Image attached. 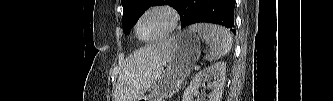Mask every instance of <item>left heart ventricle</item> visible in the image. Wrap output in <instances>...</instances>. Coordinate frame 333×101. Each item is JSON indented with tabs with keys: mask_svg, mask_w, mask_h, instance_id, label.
<instances>
[{
	"mask_svg": "<svg viewBox=\"0 0 333 101\" xmlns=\"http://www.w3.org/2000/svg\"><path fill=\"white\" fill-rule=\"evenodd\" d=\"M170 24V17L162 12H154L141 21L139 31L145 39L153 38L163 33Z\"/></svg>",
	"mask_w": 333,
	"mask_h": 101,
	"instance_id": "b2bd125f",
	"label": "left heart ventricle"
}]
</instances>
